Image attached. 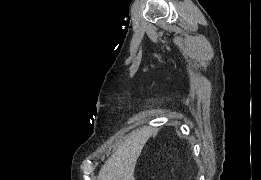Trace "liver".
Here are the masks:
<instances>
[{
	"mask_svg": "<svg viewBox=\"0 0 261 180\" xmlns=\"http://www.w3.org/2000/svg\"><path fill=\"white\" fill-rule=\"evenodd\" d=\"M148 130L140 128L129 136L117 148L105 164H103L98 180H135L134 170L141 150L146 142Z\"/></svg>",
	"mask_w": 261,
	"mask_h": 180,
	"instance_id": "6515ba94",
	"label": "liver"
}]
</instances>
